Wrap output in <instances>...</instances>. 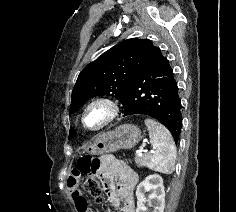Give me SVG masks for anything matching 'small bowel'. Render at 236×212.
Listing matches in <instances>:
<instances>
[{"mask_svg":"<svg viewBox=\"0 0 236 212\" xmlns=\"http://www.w3.org/2000/svg\"><path fill=\"white\" fill-rule=\"evenodd\" d=\"M98 167L94 171L103 179L109 200L114 205H121V212H136L133 188L138 180L137 174L125 162L111 155H104L97 160ZM74 169L68 179V190L71 193L77 212H93L88 208L87 199L77 188L80 174ZM117 181L114 184V181Z\"/></svg>","mask_w":236,"mask_h":212,"instance_id":"obj_1","label":"small bowel"}]
</instances>
